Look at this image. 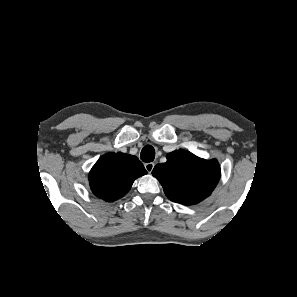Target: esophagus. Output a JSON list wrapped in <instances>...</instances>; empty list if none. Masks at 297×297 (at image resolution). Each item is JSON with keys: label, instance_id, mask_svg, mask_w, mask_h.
<instances>
[{"label": "esophagus", "instance_id": "34e87169", "mask_svg": "<svg viewBox=\"0 0 297 297\" xmlns=\"http://www.w3.org/2000/svg\"><path fill=\"white\" fill-rule=\"evenodd\" d=\"M154 166H155V165H154V163H152V162H150V163H145V164H144L145 169H146L149 173L152 172Z\"/></svg>", "mask_w": 297, "mask_h": 297}]
</instances>
